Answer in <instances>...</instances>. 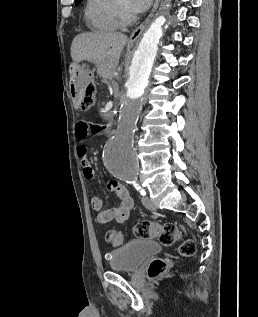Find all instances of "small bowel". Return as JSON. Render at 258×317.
<instances>
[{"instance_id": "c3829d8e", "label": "small bowel", "mask_w": 258, "mask_h": 317, "mask_svg": "<svg viewBox=\"0 0 258 317\" xmlns=\"http://www.w3.org/2000/svg\"><path fill=\"white\" fill-rule=\"evenodd\" d=\"M107 126L103 124H90L84 120H80L75 125V134L78 141L77 156L80 159L83 175L87 180H92L95 176L94 169L87 157V147L84 145V140L89 133H99L103 131ZM108 191L114 193L119 203L115 206L103 209V201L99 196H94L91 200V205L95 211L98 212V222L105 224L111 221L123 223L130 215L133 208V199L130 196L126 187L118 182H110L107 185Z\"/></svg>"}]
</instances>
